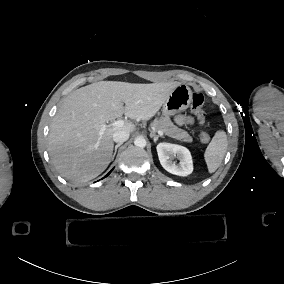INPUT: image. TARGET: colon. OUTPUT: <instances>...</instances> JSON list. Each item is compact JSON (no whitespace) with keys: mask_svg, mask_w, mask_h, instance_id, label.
I'll list each match as a JSON object with an SVG mask.
<instances>
[{"mask_svg":"<svg viewBox=\"0 0 284 284\" xmlns=\"http://www.w3.org/2000/svg\"><path fill=\"white\" fill-rule=\"evenodd\" d=\"M203 105H204L203 95L200 93L194 92L191 98V106L197 118V121L202 125H204L206 122V113L203 109ZM200 139L203 143H206L210 140V135L207 132L203 131L200 133Z\"/></svg>","mask_w":284,"mask_h":284,"instance_id":"5ec220e1","label":"colon"}]
</instances>
